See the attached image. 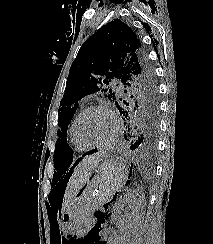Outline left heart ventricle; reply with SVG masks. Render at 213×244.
<instances>
[{"instance_id": "1", "label": "left heart ventricle", "mask_w": 213, "mask_h": 244, "mask_svg": "<svg viewBox=\"0 0 213 244\" xmlns=\"http://www.w3.org/2000/svg\"><path fill=\"white\" fill-rule=\"evenodd\" d=\"M114 125L110 116L102 110L88 112L79 126L81 137L88 143L106 141L113 133Z\"/></svg>"}]
</instances>
